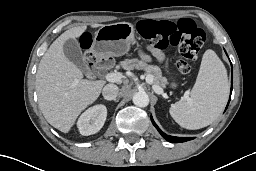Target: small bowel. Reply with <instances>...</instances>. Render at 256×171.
I'll use <instances>...</instances> for the list:
<instances>
[{
  "mask_svg": "<svg viewBox=\"0 0 256 171\" xmlns=\"http://www.w3.org/2000/svg\"><path fill=\"white\" fill-rule=\"evenodd\" d=\"M148 49L160 62H163L165 60V56L161 50L153 47H149Z\"/></svg>",
  "mask_w": 256,
  "mask_h": 171,
  "instance_id": "small-bowel-1",
  "label": "small bowel"
}]
</instances>
